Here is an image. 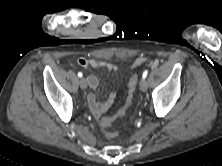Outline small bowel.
<instances>
[{
	"label": "small bowel",
	"instance_id": "small-bowel-1",
	"mask_svg": "<svg viewBox=\"0 0 222 166\" xmlns=\"http://www.w3.org/2000/svg\"><path fill=\"white\" fill-rule=\"evenodd\" d=\"M146 61H147V58L142 57V56L138 57L133 62L131 68H135L137 66H140V65L144 64ZM77 63L80 66L85 67V68L105 67L110 72H114L118 69V67L115 64L108 63L105 61H98L95 59L79 58V59H77ZM87 81H88L89 87L91 89V91L87 95V102H88V105H89V108H90L92 114L96 118H99L112 106V104L114 103V101L116 99V93H114V92L110 93V95L108 96V98L105 101H98L96 98V95L94 93V91L97 89V87L99 85L98 78L95 75L90 74L87 76Z\"/></svg>",
	"mask_w": 222,
	"mask_h": 166
}]
</instances>
